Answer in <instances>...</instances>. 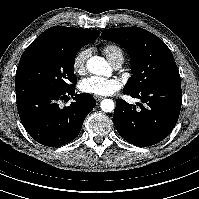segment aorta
<instances>
[{
	"mask_svg": "<svg viewBox=\"0 0 199 199\" xmlns=\"http://www.w3.org/2000/svg\"><path fill=\"white\" fill-rule=\"evenodd\" d=\"M87 69L95 75H106L110 67L107 62L101 57H92L87 61ZM100 108L104 112H112L115 104L111 99H104L100 103Z\"/></svg>",
	"mask_w": 199,
	"mask_h": 199,
	"instance_id": "obj_1",
	"label": "aorta"
}]
</instances>
